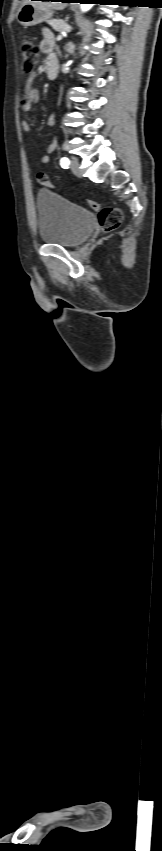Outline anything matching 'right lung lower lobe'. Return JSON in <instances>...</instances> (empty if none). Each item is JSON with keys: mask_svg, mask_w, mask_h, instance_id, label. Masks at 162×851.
<instances>
[{"mask_svg": "<svg viewBox=\"0 0 162 851\" xmlns=\"http://www.w3.org/2000/svg\"><path fill=\"white\" fill-rule=\"evenodd\" d=\"M44 1H52V0H44Z\"/></svg>", "mask_w": 162, "mask_h": 851, "instance_id": "obj_1", "label": "right lung lower lobe"}]
</instances>
